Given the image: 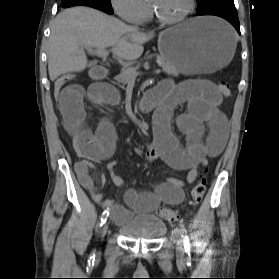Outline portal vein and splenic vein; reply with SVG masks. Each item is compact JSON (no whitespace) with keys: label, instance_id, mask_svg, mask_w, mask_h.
Here are the masks:
<instances>
[{"label":"portal vein and splenic vein","instance_id":"obj_1","mask_svg":"<svg viewBox=\"0 0 279 279\" xmlns=\"http://www.w3.org/2000/svg\"><path fill=\"white\" fill-rule=\"evenodd\" d=\"M88 51L95 53L98 57L102 58L103 60L108 59L109 51L105 48H99V49L88 48ZM156 72L159 73L160 70H157ZM136 76H137V72L134 70L132 72V77H136Z\"/></svg>","mask_w":279,"mask_h":279}]
</instances>
